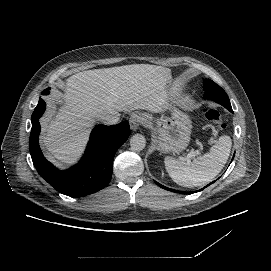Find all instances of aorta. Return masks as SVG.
Masks as SVG:
<instances>
[{
    "instance_id": "obj_1",
    "label": "aorta",
    "mask_w": 271,
    "mask_h": 271,
    "mask_svg": "<svg viewBox=\"0 0 271 271\" xmlns=\"http://www.w3.org/2000/svg\"><path fill=\"white\" fill-rule=\"evenodd\" d=\"M146 146V139L142 135H134L130 140V147L133 151L140 152Z\"/></svg>"
}]
</instances>
